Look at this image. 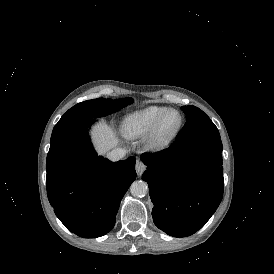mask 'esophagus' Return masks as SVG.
<instances>
[{
	"instance_id": "34e87169",
	"label": "esophagus",
	"mask_w": 274,
	"mask_h": 274,
	"mask_svg": "<svg viewBox=\"0 0 274 274\" xmlns=\"http://www.w3.org/2000/svg\"><path fill=\"white\" fill-rule=\"evenodd\" d=\"M135 169H136V172L139 176L142 175V173L146 170V165H144L142 162L140 161H136V164H135Z\"/></svg>"
}]
</instances>
